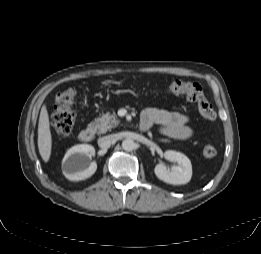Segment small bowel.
I'll list each match as a JSON object with an SVG mask.
<instances>
[{
  "label": "small bowel",
  "mask_w": 261,
  "mask_h": 254,
  "mask_svg": "<svg viewBox=\"0 0 261 254\" xmlns=\"http://www.w3.org/2000/svg\"><path fill=\"white\" fill-rule=\"evenodd\" d=\"M189 121L190 118L186 114L149 108L142 113L141 129L145 131L156 124L162 134L178 140H188L193 135L188 125Z\"/></svg>",
  "instance_id": "obj_1"
}]
</instances>
